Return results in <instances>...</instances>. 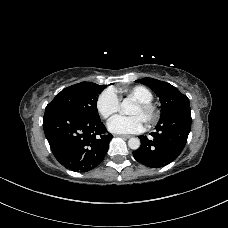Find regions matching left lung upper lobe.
Listing matches in <instances>:
<instances>
[{"mask_svg": "<svg viewBox=\"0 0 228 228\" xmlns=\"http://www.w3.org/2000/svg\"><path fill=\"white\" fill-rule=\"evenodd\" d=\"M136 82L150 87L160 98L161 117L159 122L169 116H173L175 118L174 123H181L180 110L183 108H190L189 99L186 95L182 94L171 84L157 79L143 78Z\"/></svg>", "mask_w": 228, "mask_h": 228, "instance_id": "5c2ea615", "label": "left lung upper lobe"}]
</instances>
